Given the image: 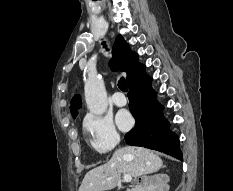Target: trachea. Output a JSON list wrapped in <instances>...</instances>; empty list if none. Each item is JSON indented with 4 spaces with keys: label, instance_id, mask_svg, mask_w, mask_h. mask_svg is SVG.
<instances>
[{
    "label": "trachea",
    "instance_id": "trachea-1",
    "mask_svg": "<svg viewBox=\"0 0 233 191\" xmlns=\"http://www.w3.org/2000/svg\"><path fill=\"white\" fill-rule=\"evenodd\" d=\"M102 44L104 45V47H106V45H105L104 42ZM118 87L123 92H127L128 91L126 80L123 77L118 81Z\"/></svg>",
    "mask_w": 233,
    "mask_h": 191
}]
</instances>
